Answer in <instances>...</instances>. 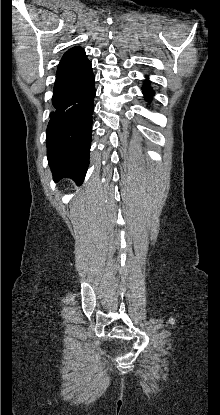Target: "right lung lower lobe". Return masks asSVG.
<instances>
[{
  "mask_svg": "<svg viewBox=\"0 0 220 415\" xmlns=\"http://www.w3.org/2000/svg\"><path fill=\"white\" fill-rule=\"evenodd\" d=\"M95 76L90 61L56 73L46 131L47 158L58 182L67 177L81 184L90 155Z\"/></svg>",
  "mask_w": 220,
  "mask_h": 415,
  "instance_id": "right-lung-lower-lobe-1",
  "label": "right lung lower lobe"
}]
</instances>
